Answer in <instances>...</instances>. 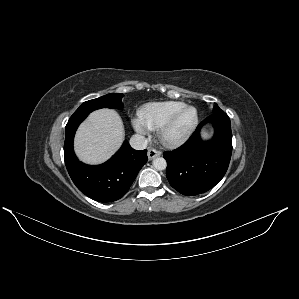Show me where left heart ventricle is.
<instances>
[{"label":"left heart ventricle","instance_id":"b2bd125f","mask_svg":"<svg viewBox=\"0 0 299 299\" xmlns=\"http://www.w3.org/2000/svg\"><path fill=\"white\" fill-rule=\"evenodd\" d=\"M194 119L195 111L193 109H188L184 111L175 123L172 129V134L179 135L185 132L192 125Z\"/></svg>","mask_w":299,"mask_h":299}]
</instances>
